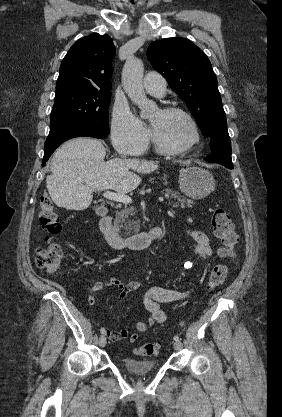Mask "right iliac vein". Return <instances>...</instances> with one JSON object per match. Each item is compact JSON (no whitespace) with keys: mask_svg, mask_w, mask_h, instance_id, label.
I'll use <instances>...</instances> for the list:
<instances>
[{"mask_svg":"<svg viewBox=\"0 0 282 417\" xmlns=\"http://www.w3.org/2000/svg\"><path fill=\"white\" fill-rule=\"evenodd\" d=\"M99 345H100L101 347H104V346L106 345V336H105V335H102V336L99 338Z\"/></svg>","mask_w":282,"mask_h":417,"instance_id":"1","label":"right iliac vein"}]
</instances>
